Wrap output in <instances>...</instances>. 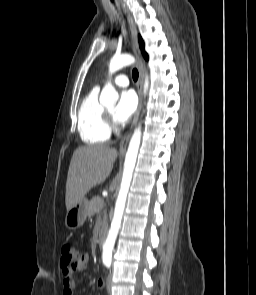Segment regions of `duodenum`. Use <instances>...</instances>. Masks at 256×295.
Returning a JSON list of instances; mask_svg holds the SVG:
<instances>
[{
  "mask_svg": "<svg viewBox=\"0 0 256 295\" xmlns=\"http://www.w3.org/2000/svg\"><path fill=\"white\" fill-rule=\"evenodd\" d=\"M105 239H106V231H105V229H103L100 232L99 237H98L97 245H98V248L99 249H102L103 248L104 243H105Z\"/></svg>",
  "mask_w": 256,
  "mask_h": 295,
  "instance_id": "duodenum-1",
  "label": "duodenum"
}]
</instances>
